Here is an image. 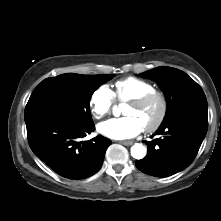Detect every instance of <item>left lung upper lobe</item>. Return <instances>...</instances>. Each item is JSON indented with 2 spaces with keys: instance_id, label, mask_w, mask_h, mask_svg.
I'll return each mask as SVG.
<instances>
[{
  "instance_id": "5c2ea615",
  "label": "left lung upper lobe",
  "mask_w": 221,
  "mask_h": 221,
  "mask_svg": "<svg viewBox=\"0 0 221 221\" xmlns=\"http://www.w3.org/2000/svg\"><path fill=\"white\" fill-rule=\"evenodd\" d=\"M141 77L156 81L166 96L167 112L162 123L190 107L207 106L202 88L181 70L160 66L142 73Z\"/></svg>"
}]
</instances>
